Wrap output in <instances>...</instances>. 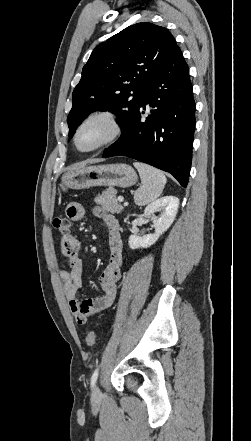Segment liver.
<instances>
[{
	"instance_id": "obj_1",
	"label": "liver",
	"mask_w": 251,
	"mask_h": 441,
	"mask_svg": "<svg viewBox=\"0 0 251 441\" xmlns=\"http://www.w3.org/2000/svg\"><path fill=\"white\" fill-rule=\"evenodd\" d=\"M84 165H81V166H79V167H83ZM79 167H77V168H79Z\"/></svg>"
}]
</instances>
